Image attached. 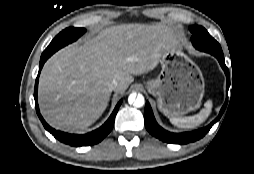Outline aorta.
<instances>
[{"instance_id": "obj_1", "label": "aorta", "mask_w": 254, "mask_h": 174, "mask_svg": "<svg viewBox=\"0 0 254 174\" xmlns=\"http://www.w3.org/2000/svg\"><path fill=\"white\" fill-rule=\"evenodd\" d=\"M129 104H132L136 108H140L144 105L145 99L142 94L132 93L128 98Z\"/></svg>"}]
</instances>
